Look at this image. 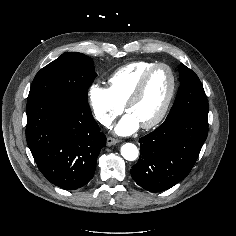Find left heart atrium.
I'll use <instances>...</instances> for the list:
<instances>
[{
    "instance_id": "obj_1",
    "label": "left heart atrium",
    "mask_w": 236,
    "mask_h": 236,
    "mask_svg": "<svg viewBox=\"0 0 236 236\" xmlns=\"http://www.w3.org/2000/svg\"><path fill=\"white\" fill-rule=\"evenodd\" d=\"M140 122L131 113H127L122 119L116 124L114 131L116 134L121 136L131 135L140 127Z\"/></svg>"
}]
</instances>
